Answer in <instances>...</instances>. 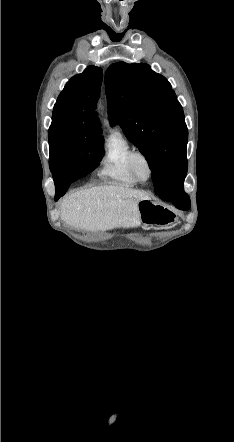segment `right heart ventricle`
<instances>
[{"label": "right heart ventricle", "instance_id": "right-heart-ventricle-1", "mask_svg": "<svg viewBox=\"0 0 234 442\" xmlns=\"http://www.w3.org/2000/svg\"><path fill=\"white\" fill-rule=\"evenodd\" d=\"M133 150L132 144L124 133L118 129L114 130L104 144L98 175L116 184L136 185L138 182L128 167V157Z\"/></svg>", "mask_w": 234, "mask_h": 442}]
</instances>
